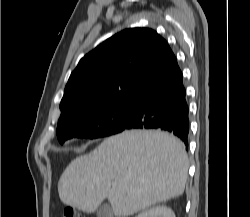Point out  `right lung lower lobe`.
I'll use <instances>...</instances> for the list:
<instances>
[{"mask_svg":"<svg viewBox=\"0 0 250 217\" xmlns=\"http://www.w3.org/2000/svg\"><path fill=\"white\" fill-rule=\"evenodd\" d=\"M185 95L182 72L177 67L166 79L135 98L136 109L125 129L169 131L188 146L190 122Z\"/></svg>","mask_w":250,"mask_h":217,"instance_id":"right-lung-lower-lobe-1","label":"right lung lower lobe"}]
</instances>
